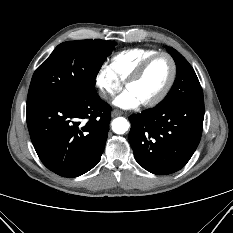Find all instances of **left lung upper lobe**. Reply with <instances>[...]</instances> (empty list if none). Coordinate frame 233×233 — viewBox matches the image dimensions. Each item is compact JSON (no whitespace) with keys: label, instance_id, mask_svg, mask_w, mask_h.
<instances>
[{"label":"left lung upper lobe","instance_id":"5c2ea615","mask_svg":"<svg viewBox=\"0 0 233 233\" xmlns=\"http://www.w3.org/2000/svg\"><path fill=\"white\" fill-rule=\"evenodd\" d=\"M167 51L176 63L177 76L171 90L158 105L177 101H204L201 85L192 66L172 47H167Z\"/></svg>","mask_w":233,"mask_h":233}]
</instances>
